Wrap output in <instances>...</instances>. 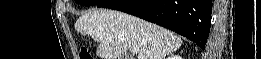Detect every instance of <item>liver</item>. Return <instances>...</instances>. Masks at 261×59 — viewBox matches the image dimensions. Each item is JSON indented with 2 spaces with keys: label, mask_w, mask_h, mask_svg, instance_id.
<instances>
[{
  "label": "liver",
  "mask_w": 261,
  "mask_h": 59,
  "mask_svg": "<svg viewBox=\"0 0 261 59\" xmlns=\"http://www.w3.org/2000/svg\"><path fill=\"white\" fill-rule=\"evenodd\" d=\"M75 29L99 42L96 55L101 59H119L134 47L139 49L137 59H165L182 45L173 32L115 10L88 11L77 19Z\"/></svg>",
  "instance_id": "liver-1"
}]
</instances>
